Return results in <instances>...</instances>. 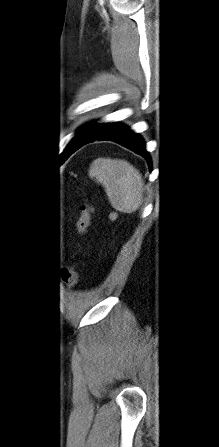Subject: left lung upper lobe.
<instances>
[{"instance_id": "left-lung-upper-lobe-1", "label": "left lung upper lobe", "mask_w": 219, "mask_h": 447, "mask_svg": "<svg viewBox=\"0 0 219 447\" xmlns=\"http://www.w3.org/2000/svg\"><path fill=\"white\" fill-rule=\"evenodd\" d=\"M102 124H95L91 126H86L83 130L77 133V135L73 138L67 148L63 151L66 153L73 145L78 144L79 142L85 140L89 137V135L93 134L96 130L100 128Z\"/></svg>"}]
</instances>
